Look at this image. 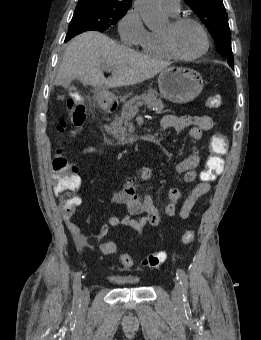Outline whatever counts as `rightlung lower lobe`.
<instances>
[{"label":"right lung lower lobe","instance_id":"right-lung-lower-lobe-1","mask_svg":"<svg viewBox=\"0 0 261 340\" xmlns=\"http://www.w3.org/2000/svg\"><path fill=\"white\" fill-rule=\"evenodd\" d=\"M85 31L86 30H71V31H68L64 42L69 41L72 37H74V36H76V35H78L82 32H85Z\"/></svg>","mask_w":261,"mask_h":340}]
</instances>
